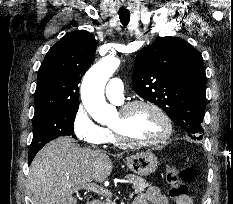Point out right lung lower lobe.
<instances>
[{"mask_svg":"<svg viewBox=\"0 0 233 204\" xmlns=\"http://www.w3.org/2000/svg\"><path fill=\"white\" fill-rule=\"evenodd\" d=\"M42 148V147H41ZM41 148H38V147H35V148H32L30 147V151H29V157H28V164L30 165V163L32 162L34 156L36 155V153L41 149Z\"/></svg>","mask_w":233,"mask_h":204,"instance_id":"right-lung-lower-lobe-1","label":"right lung lower lobe"}]
</instances>
